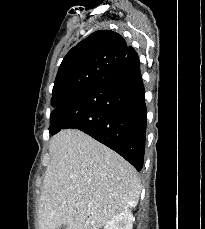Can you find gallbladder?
Masks as SVG:
<instances>
[{"label":"gallbladder","mask_w":205,"mask_h":229,"mask_svg":"<svg viewBox=\"0 0 205 229\" xmlns=\"http://www.w3.org/2000/svg\"><path fill=\"white\" fill-rule=\"evenodd\" d=\"M58 229H67V227H66L65 224H63V225H61Z\"/></svg>","instance_id":"obj_1"}]
</instances>
